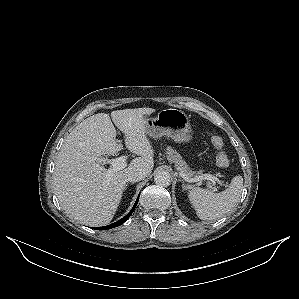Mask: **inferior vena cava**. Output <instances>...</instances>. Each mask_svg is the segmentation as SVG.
Listing matches in <instances>:
<instances>
[{"instance_id": "inferior-vena-cava-1", "label": "inferior vena cava", "mask_w": 299, "mask_h": 299, "mask_svg": "<svg viewBox=\"0 0 299 299\" xmlns=\"http://www.w3.org/2000/svg\"><path fill=\"white\" fill-rule=\"evenodd\" d=\"M147 176V171L140 167L132 168L127 175V180L130 182H138Z\"/></svg>"}]
</instances>
